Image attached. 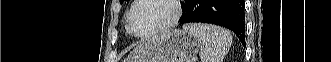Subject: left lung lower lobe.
I'll return each mask as SVG.
<instances>
[{
    "label": "left lung lower lobe",
    "instance_id": "obj_1",
    "mask_svg": "<svg viewBox=\"0 0 331 62\" xmlns=\"http://www.w3.org/2000/svg\"><path fill=\"white\" fill-rule=\"evenodd\" d=\"M186 13L180 24L203 22L232 30L245 46V14L243 0H187Z\"/></svg>",
    "mask_w": 331,
    "mask_h": 62
}]
</instances>
